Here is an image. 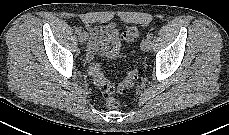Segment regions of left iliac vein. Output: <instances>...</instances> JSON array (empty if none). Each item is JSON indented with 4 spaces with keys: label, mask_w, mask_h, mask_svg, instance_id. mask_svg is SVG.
<instances>
[{
    "label": "left iliac vein",
    "mask_w": 229,
    "mask_h": 135,
    "mask_svg": "<svg viewBox=\"0 0 229 135\" xmlns=\"http://www.w3.org/2000/svg\"><path fill=\"white\" fill-rule=\"evenodd\" d=\"M152 43L151 40L148 38H145L142 42H141V48L143 51H149L151 49Z\"/></svg>",
    "instance_id": "left-iliac-vein-1"
}]
</instances>
